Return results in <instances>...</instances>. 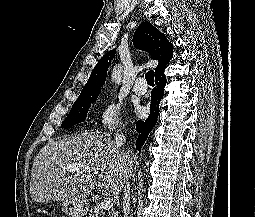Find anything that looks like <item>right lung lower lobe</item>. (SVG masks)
Returning <instances> with one entry per match:
<instances>
[{"mask_svg": "<svg viewBox=\"0 0 255 217\" xmlns=\"http://www.w3.org/2000/svg\"><path fill=\"white\" fill-rule=\"evenodd\" d=\"M156 86L151 92V104H150V115L144 121H139L136 124V130L139 136L136 140V148L141 151V147L156 124L159 115V102L164 95V86L166 84V77L164 71L155 76Z\"/></svg>", "mask_w": 255, "mask_h": 217, "instance_id": "1", "label": "right lung lower lobe"}]
</instances>
